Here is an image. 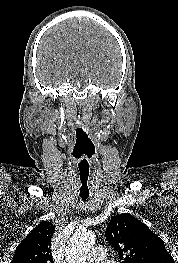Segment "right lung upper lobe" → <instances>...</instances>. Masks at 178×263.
Segmentation results:
<instances>
[{"instance_id": "cb5924a9", "label": "right lung upper lobe", "mask_w": 178, "mask_h": 263, "mask_svg": "<svg viewBox=\"0 0 178 263\" xmlns=\"http://www.w3.org/2000/svg\"><path fill=\"white\" fill-rule=\"evenodd\" d=\"M54 231L51 222H41L18 245L11 263H53L51 238Z\"/></svg>"}]
</instances>
